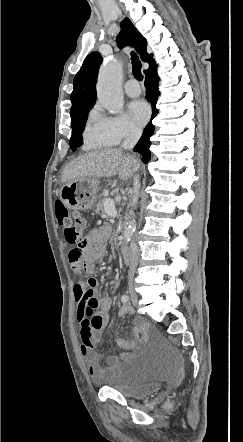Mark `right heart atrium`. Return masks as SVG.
<instances>
[{"label":"right heart atrium","instance_id":"obj_1","mask_svg":"<svg viewBox=\"0 0 243 442\" xmlns=\"http://www.w3.org/2000/svg\"><path fill=\"white\" fill-rule=\"evenodd\" d=\"M102 129L119 143L125 139L135 138L140 134V129L125 114L115 116H100Z\"/></svg>","mask_w":243,"mask_h":442}]
</instances>
